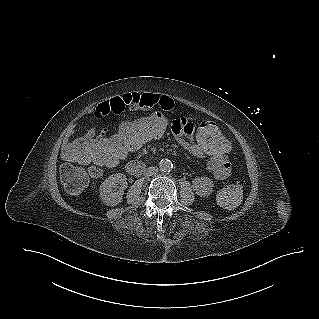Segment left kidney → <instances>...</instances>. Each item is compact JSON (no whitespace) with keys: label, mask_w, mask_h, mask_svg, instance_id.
<instances>
[{"label":"left kidney","mask_w":319,"mask_h":319,"mask_svg":"<svg viewBox=\"0 0 319 319\" xmlns=\"http://www.w3.org/2000/svg\"><path fill=\"white\" fill-rule=\"evenodd\" d=\"M213 181L208 177H198L193 180V188L200 197L209 196L213 191Z\"/></svg>","instance_id":"obj_1"}]
</instances>
